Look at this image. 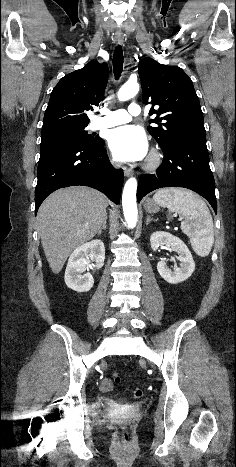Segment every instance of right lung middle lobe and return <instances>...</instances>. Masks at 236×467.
<instances>
[{
  "label": "right lung middle lobe",
  "mask_w": 236,
  "mask_h": 467,
  "mask_svg": "<svg viewBox=\"0 0 236 467\" xmlns=\"http://www.w3.org/2000/svg\"><path fill=\"white\" fill-rule=\"evenodd\" d=\"M86 127L87 125L60 126L41 130L40 147L60 142H76L87 146L96 145L100 141V138L88 134V131L85 129Z\"/></svg>",
  "instance_id": "right-lung-middle-lobe-1"
}]
</instances>
